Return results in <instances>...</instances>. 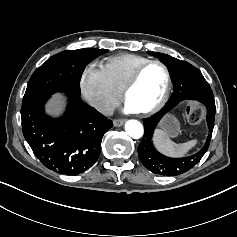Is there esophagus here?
Instances as JSON below:
<instances>
[{
	"label": "esophagus",
	"mask_w": 237,
	"mask_h": 237,
	"mask_svg": "<svg viewBox=\"0 0 237 237\" xmlns=\"http://www.w3.org/2000/svg\"><path fill=\"white\" fill-rule=\"evenodd\" d=\"M124 123H125V120H124V119H115V120L113 121V125H114L115 127H120V126H122Z\"/></svg>",
	"instance_id": "34e87169"
}]
</instances>
